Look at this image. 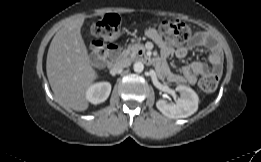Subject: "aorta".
I'll list each match as a JSON object with an SVG mask.
<instances>
[{
    "mask_svg": "<svg viewBox=\"0 0 261 162\" xmlns=\"http://www.w3.org/2000/svg\"><path fill=\"white\" fill-rule=\"evenodd\" d=\"M133 69L136 73H141L144 70V65L142 62H135Z\"/></svg>",
    "mask_w": 261,
    "mask_h": 162,
    "instance_id": "762f6f07",
    "label": "aorta"
}]
</instances>
